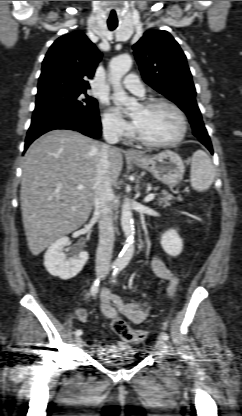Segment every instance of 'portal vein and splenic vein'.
<instances>
[{
	"label": "portal vein and splenic vein",
	"instance_id": "18ae733b",
	"mask_svg": "<svg viewBox=\"0 0 242 416\" xmlns=\"http://www.w3.org/2000/svg\"><path fill=\"white\" fill-rule=\"evenodd\" d=\"M77 188H78L79 190H82V189H83V186H82V185H79ZM154 197H155V194L150 193V194H148V195L145 197L144 201H145V202H149V201L153 200V199H154Z\"/></svg>",
	"mask_w": 242,
	"mask_h": 416
}]
</instances>
